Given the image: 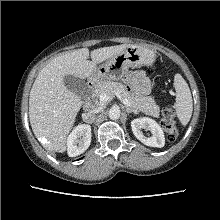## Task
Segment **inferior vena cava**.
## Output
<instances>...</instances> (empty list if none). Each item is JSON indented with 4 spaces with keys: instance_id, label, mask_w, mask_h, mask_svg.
<instances>
[{
    "instance_id": "inferior-vena-cava-1",
    "label": "inferior vena cava",
    "mask_w": 220,
    "mask_h": 220,
    "mask_svg": "<svg viewBox=\"0 0 220 220\" xmlns=\"http://www.w3.org/2000/svg\"><path fill=\"white\" fill-rule=\"evenodd\" d=\"M101 111H102L101 107L94 108V109L90 110L88 113L84 114V119H88L89 117H92Z\"/></svg>"
}]
</instances>
